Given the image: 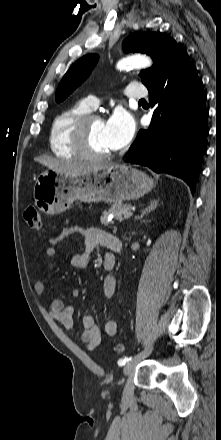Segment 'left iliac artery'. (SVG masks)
I'll return each mask as SVG.
<instances>
[{
    "instance_id": "44dca946",
    "label": "left iliac artery",
    "mask_w": 221,
    "mask_h": 440,
    "mask_svg": "<svg viewBox=\"0 0 221 440\" xmlns=\"http://www.w3.org/2000/svg\"><path fill=\"white\" fill-rule=\"evenodd\" d=\"M129 360H131V358H124V359H120L118 361L119 365H125Z\"/></svg>"
}]
</instances>
